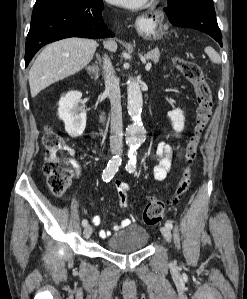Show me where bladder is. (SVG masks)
Returning <instances> with one entry per match:
<instances>
[{
  "label": "bladder",
  "mask_w": 247,
  "mask_h": 299,
  "mask_svg": "<svg viewBox=\"0 0 247 299\" xmlns=\"http://www.w3.org/2000/svg\"><path fill=\"white\" fill-rule=\"evenodd\" d=\"M149 240L145 227L132 224L116 232L107 240L109 250L117 253H130L143 249Z\"/></svg>",
  "instance_id": "1"
}]
</instances>
